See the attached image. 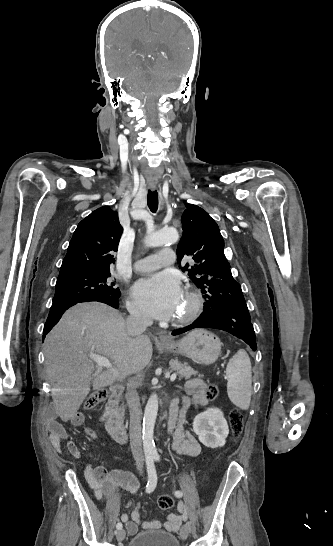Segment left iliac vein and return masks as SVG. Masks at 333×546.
<instances>
[{"mask_svg":"<svg viewBox=\"0 0 333 546\" xmlns=\"http://www.w3.org/2000/svg\"><path fill=\"white\" fill-rule=\"evenodd\" d=\"M191 527L189 524H184L181 528L180 535L182 539H187L190 534Z\"/></svg>","mask_w":333,"mask_h":546,"instance_id":"obj_1","label":"left iliac vein"}]
</instances>
